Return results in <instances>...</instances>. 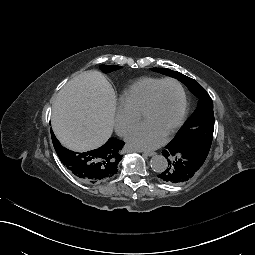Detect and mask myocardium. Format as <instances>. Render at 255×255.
Returning a JSON list of instances; mask_svg holds the SVG:
<instances>
[{"instance_id":"myocardium-1","label":"myocardium","mask_w":255,"mask_h":255,"mask_svg":"<svg viewBox=\"0 0 255 255\" xmlns=\"http://www.w3.org/2000/svg\"><path fill=\"white\" fill-rule=\"evenodd\" d=\"M165 83H173L178 86L181 92V97H182V105H181V110L179 114V118L174 125L173 129L170 131V133L164 138V142H169L177 133V131L181 128L183 125L184 119H185V114H186V109H187V96L185 89L183 85L176 79L174 78H165L159 81L150 91L149 96L147 101L145 102L142 111L140 113V119L148 113V111L151 109L154 103L155 95L158 91V89Z\"/></svg>"}]
</instances>
